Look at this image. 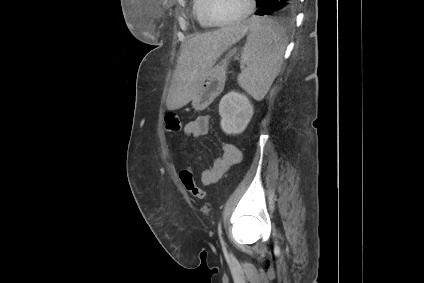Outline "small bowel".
Listing matches in <instances>:
<instances>
[{
  "instance_id": "small-bowel-1",
  "label": "small bowel",
  "mask_w": 424,
  "mask_h": 283,
  "mask_svg": "<svg viewBox=\"0 0 424 283\" xmlns=\"http://www.w3.org/2000/svg\"><path fill=\"white\" fill-rule=\"evenodd\" d=\"M210 130V117L208 115H201L194 120L188 122L184 127V133L187 136L198 138L208 134ZM241 160V151L234 144L224 142L222 144V155L215 159L213 164L204 169L200 174L201 183L204 186H209L216 183L229 168L239 163ZM186 170L193 173L192 166L186 165Z\"/></svg>"
}]
</instances>
